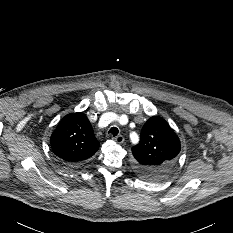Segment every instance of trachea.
Masks as SVG:
<instances>
[{
  "label": "trachea",
  "instance_id": "3493384b",
  "mask_svg": "<svg viewBox=\"0 0 233 233\" xmlns=\"http://www.w3.org/2000/svg\"><path fill=\"white\" fill-rule=\"evenodd\" d=\"M119 130L117 127H112L108 133H110L111 135H113V137H115L118 134Z\"/></svg>",
  "mask_w": 233,
  "mask_h": 233
}]
</instances>
